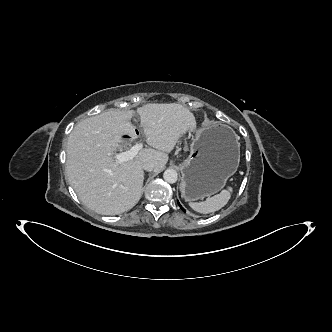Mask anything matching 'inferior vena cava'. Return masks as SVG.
I'll return each instance as SVG.
<instances>
[{
	"mask_svg": "<svg viewBox=\"0 0 332 332\" xmlns=\"http://www.w3.org/2000/svg\"><path fill=\"white\" fill-rule=\"evenodd\" d=\"M155 167V164L151 161H148V162H145L143 164V169L146 170V171H152Z\"/></svg>",
	"mask_w": 332,
	"mask_h": 332,
	"instance_id": "obj_1",
	"label": "inferior vena cava"
}]
</instances>
